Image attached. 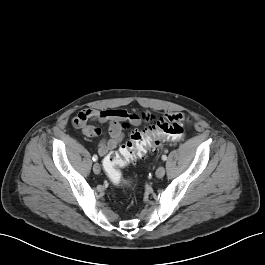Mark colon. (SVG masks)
Returning <instances> with one entry per match:
<instances>
[{
  "mask_svg": "<svg viewBox=\"0 0 265 265\" xmlns=\"http://www.w3.org/2000/svg\"><path fill=\"white\" fill-rule=\"evenodd\" d=\"M184 134L185 125L179 118L160 119L144 132H133L130 140L118 151L111 152L103 162L110 182L117 187L130 185V182L122 177L121 170L124 167L143 156L147 151L155 150L163 142L181 140Z\"/></svg>",
  "mask_w": 265,
  "mask_h": 265,
  "instance_id": "obj_1",
  "label": "colon"
}]
</instances>
